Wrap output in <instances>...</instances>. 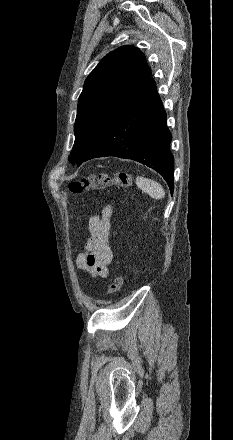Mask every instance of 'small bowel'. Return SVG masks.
I'll list each match as a JSON object with an SVG mask.
<instances>
[{
	"instance_id": "1",
	"label": "small bowel",
	"mask_w": 233,
	"mask_h": 440,
	"mask_svg": "<svg viewBox=\"0 0 233 440\" xmlns=\"http://www.w3.org/2000/svg\"><path fill=\"white\" fill-rule=\"evenodd\" d=\"M113 208L107 205L101 214L88 220L89 238L85 243V251L76 259L77 267L93 277H106L109 265L113 260V247L110 240L111 216Z\"/></svg>"
}]
</instances>
